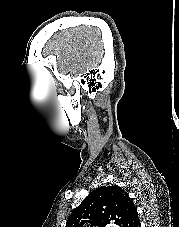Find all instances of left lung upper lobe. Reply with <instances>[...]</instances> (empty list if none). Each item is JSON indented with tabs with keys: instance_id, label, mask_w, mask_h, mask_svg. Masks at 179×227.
<instances>
[{
	"instance_id": "5c2ea615",
	"label": "left lung upper lobe",
	"mask_w": 179,
	"mask_h": 227,
	"mask_svg": "<svg viewBox=\"0 0 179 227\" xmlns=\"http://www.w3.org/2000/svg\"><path fill=\"white\" fill-rule=\"evenodd\" d=\"M105 227H138V212L129 195L119 186L93 190L72 212L66 227H83L85 223Z\"/></svg>"
}]
</instances>
